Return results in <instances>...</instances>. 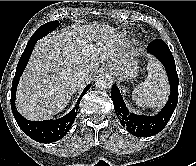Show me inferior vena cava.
Masks as SVG:
<instances>
[{"mask_svg":"<svg viewBox=\"0 0 196 166\" xmlns=\"http://www.w3.org/2000/svg\"><path fill=\"white\" fill-rule=\"evenodd\" d=\"M88 73L85 70L82 69H77L74 77L76 80H78L79 82L85 81L87 79Z\"/></svg>","mask_w":196,"mask_h":166,"instance_id":"1","label":"inferior vena cava"}]
</instances>
